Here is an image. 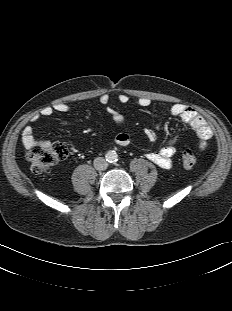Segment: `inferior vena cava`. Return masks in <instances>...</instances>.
Wrapping results in <instances>:
<instances>
[{
    "mask_svg": "<svg viewBox=\"0 0 232 311\" xmlns=\"http://www.w3.org/2000/svg\"><path fill=\"white\" fill-rule=\"evenodd\" d=\"M94 167L98 171L107 169L108 163L103 157H97L94 159Z\"/></svg>",
    "mask_w": 232,
    "mask_h": 311,
    "instance_id": "obj_1",
    "label": "inferior vena cava"
}]
</instances>
